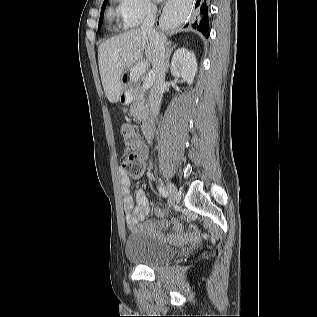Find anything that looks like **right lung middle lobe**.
<instances>
[{
    "label": "right lung middle lobe",
    "instance_id": "right-lung-middle-lobe-1",
    "mask_svg": "<svg viewBox=\"0 0 317 317\" xmlns=\"http://www.w3.org/2000/svg\"><path fill=\"white\" fill-rule=\"evenodd\" d=\"M107 5V0H104V3L102 5V9H101V14H100V19H99V23L102 22V19H103V13H104V10H105V7Z\"/></svg>",
    "mask_w": 317,
    "mask_h": 317
}]
</instances>
